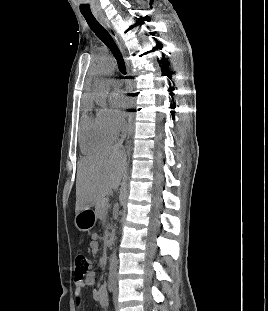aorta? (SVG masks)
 <instances>
[{"instance_id": "762f6f07", "label": "aorta", "mask_w": 268, "mask_h": 311, "mask_svg": "<svg viewBox=\"0 0 268 311\" xmlns=\"http://www.w3.org/2000/svg\"><path fill=\"white\" fill-rule=\"evenodd\" d=\"M93 70L98 76L94 84V91L100 98H105L108 93V84L106 82L105 76L114 72L115 63L110 58L101 60L94 65ZM116 268H117V256L116 251H114L113 254L111 255L109 265L111 275L116 274Z\"/></svg>"}]
</instances>
